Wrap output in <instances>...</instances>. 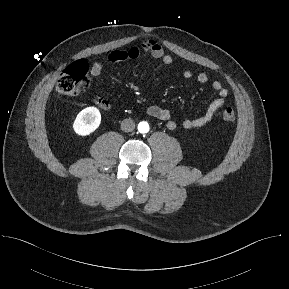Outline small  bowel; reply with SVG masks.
Masks as SVG:
<instances>
[{
    "label": "small bowel",
    "mask_w": 289,
    "mask_h": 289,
    "mask_svg": "<svg viewBox=\"0 0 289 289\" xmlns=\"http://www.w3.org/2000/svg\"><path fill=\"white\" fill-rule=\"evenodd\" d=\"M141 51L150 54L155 59L161 60L166 65L173 63V57L166 53L164 48L154 40L144 41L141 48L133 46L125 50H114L108 54L107 61L110 63H119L128 60H135L140 56ZM101 72L102 64L100 62H95L90 68L88 85H91L93 79L98 77ZM183 76L187 79L191 78L192 72L188 69L184 70ZM197 81L202 85H207L209 78L207 74L199 73L197 75ZM211 87L216 92L217 98L209 104L203 115L183 120L182 126L185 129L199 128L206 125L213 119L218 110L224 106L226 97L228 96V90L219 81H213ZM94 102L104 110L111 109L110 102L103 97L96 96ZM146 113L153 118L165 121L169 130H174L177 127L176 121L172 119L170 111L166 108L151 105L147 107Z\"/></svg>",
    "instance_id": "1"
}]
</instances>
